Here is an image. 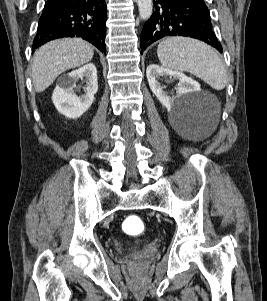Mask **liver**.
<instances>
[{"mask_svg": "<svg viewBox=\"0 0 267 301\" xmlns=\"http://www.w3.org/2000/svg\"><path fill=\"white\" fill-rule=\"evenodd\" d=\"M92 46L79 38L57 39L41 46L34 55L32 82L36 92H43L63 72L91 61Z\"/></svg>", "mask_w": 267, "mask_h": 301, "instance_id": "obj_1", "label": "liver"}]
</instances>
